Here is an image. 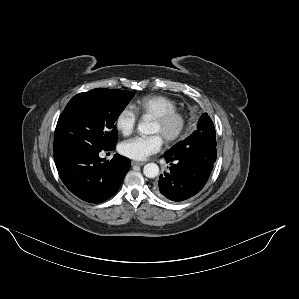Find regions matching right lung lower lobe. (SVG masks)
Here are the masks:
<instances>
[{
    "instance_id": "1",
    "label": "right lung lower lobe",
    "mask_w": 299,
    "mask_h": 299,
    "mask_svg": "<svg viewBox=\"0 0 299 299\" xmlns=\"http://www.w3.org/2000/svg\"><path fill=\"white\" fill-rule=\"evenodd\" d=\"M114 148L72 147L54 152L55 164L65 186L90 203L103 202L113 196L130 168V161L118 154L105 162L99 157L101 150Z\"/></svg>"
}]
</instances>
